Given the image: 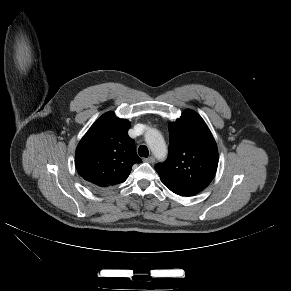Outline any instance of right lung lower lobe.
Returning a JSON list of instances; mask_svg holds the SVG:
<instances>
[{
	"instance_id": "right-lung-lower-lobe-1",
	"label": "right lung lower lobe",
	"mask_w": 291,
	"mask_h": 291,
	"mask_svg": "<svg viewBox=\"0 0 291 291\" xmlns=\"http://www.w3.org/2000/svg\"><path fill=\"white\" fill-rule=\"evenodd\" d=\"M89 186L92 187V188H95L94 186H92V185H90V184H89Z\"/></svg>"
}]
</instances>
